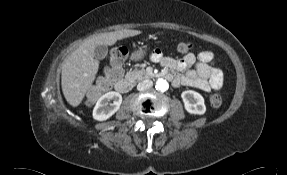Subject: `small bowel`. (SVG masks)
<instances>
[{
    "instance_id": "obj_1",
    "label": "small bowel",
    "mask_w": 287,
    "mask_h": 175,
    "mask_svg": "<svg viewBox=\"0 0 287 175\" xmlns=\"http://www.w3.org/2000/svg\"><path fill=\"white\" fill-rule=\"evenodd\" d=\"M211 58L209 52H201L197 57L189 54L183 59L165 57L160 53L153 56L154 61L173 73L170 76L174 86H191L204 91L210 90L211 84L217 85L220 80L217 71L208 65Z\"/></svg>"
}]
</instances>
